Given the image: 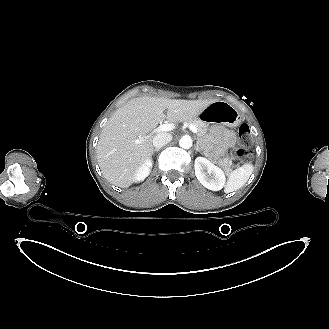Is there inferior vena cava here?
<instances>
[{
    "instance_id": "1",
    "label": "inferior vena cava",
    "mask_w": 329,
    "mask_h": 329,
    "mask_svg": "<svg viewBox=\"0 0 329 329\" xmlns=\"http://www.w3.org/2000/svg\"><path fill=\"white\" fill-rule=\"evenodd\" d=\"M172 141V135L169 133H158L153 138V145L156 148H161Z\"/></svg>"
}]
</instances>
